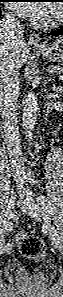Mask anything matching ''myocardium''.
<instances>
[{
  "mask_svg": "<svg viewBox=\"0 0 63 297\" xmlns=\"http://www.w3.org/2000/svg\"><path fill=\"white\" fill-rule=\"evenodd\" d=\"M53 8L55 9V15L51 20H49L46 23V26H48V27L56 26L61 21V18H62V9H61V7L55 5V6H53Z\"/></svg>",
  "mask_w": 63,
  "mask_h": 297,
  "instance_id": "f54148a6",
  "label": "myocardium"
}]
</instances>
